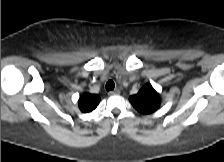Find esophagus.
Masks as SVG:
<instances>
[{"label":"esophagus","instance_id":"obj_1","mask_svg":"<svg viewBox=\"0 0 224 162\" xmlns=\"http://www.w3.org/2000/svg\"><path fill=\"white\" fill-rule=\"evenodd\" d=\"M119 93H120V90L119 89H115L113 91L108 92L109 95H117Z\"/></svg>","mask_w":224,"mask_h":162}]
</instances>
